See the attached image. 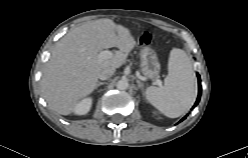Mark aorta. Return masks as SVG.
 I'll return each mask as SVG.
<instances>
[{
  "mask_svg": "<svg viewBox=\"0 0 248 158\" xmlns=\"http://www.w3.org/2000/svg\"><path fill=\"white\" fill-rule=\"evenodd\" d=\"M116 86L119 90H125L129 87V83L126 79H120Z\"/></svg>",
  "mask_w": 248,
  "mask_h": 158,
  "instance_id": "obj_1",
  "label": "aorta"
}]
</instances>
